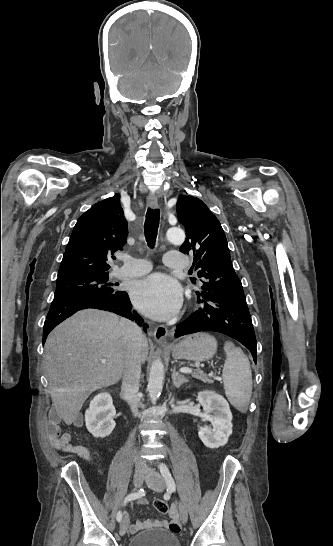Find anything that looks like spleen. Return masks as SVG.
Wrapping results in <instances>:
<instances>
[{"label": "spleen", "mask_w": 333, "mask_h": 546, "mask_svg": "<svg viewBox=\"0 0 333 546\" xmlns=\"http://www.w3.org/2000/svg\"><path fill=\"white\" fill-rule=\"evenodd\" d=\"M226 360L222 377L225 394L229 402L240 412L245 413L252 395V372L250 362L241 348L232 342L224 345Z\"/></svg>", "instance_id": "obj_1"}]
</instances>
